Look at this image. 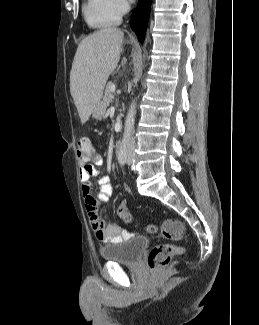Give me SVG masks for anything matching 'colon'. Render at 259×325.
I'll list each match as a JSON object with an SVG mask.
<instances>
[{"mask_svg":"<svg viewBox=\"0 0 259 325\" xmlns=\"http://www.w3.org/2000/svg\"><path fill=\"white\" fill-rule=\"evenodd\" d=\"M94 148L88 138H81L77 145V156L80 161L91 159ZM118 215L125 221L131 220V215L124 202H121ZM147 230L150 233L159 234L170 241H180L185 236V228L181 221L177 219H167L160 225H149ZM183 247L174 244H160L154 246L148 255V265L151 270H159L167 266L173 257L183 253Z\"/></svg>","mask_w":259,"mask_h":325,"instance_id":"1","label":"colon"}]
</instances>
